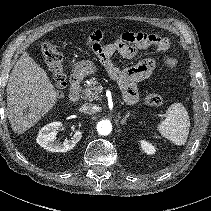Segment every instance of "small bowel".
<instances>
[{
	"label": "small bowel",
	"instance_id": "small-bowel-1",
	"mask_svg": "<svg viewBox=\"0 0 211 211\" xmlns=\"http://www.w3.org/2000/svg\"><path fill=\"white\" fill-rule=\"evenodd\" d=\"M133 34L134 32H126L122 36L127 39ZM122 36L120 37L119 43L122 42ZM144 47L146 46H141V48ZM154 67L155 61L146 59L130 68L119 69L113 65L111 68L107 69L110 76L117 81L123 94L124 101L129 105H133L138 101L137 84L147 79L151 75Z\"/></svg>",
	"mask_w": 211,
	"mask_h": 211
}]
</instances>
